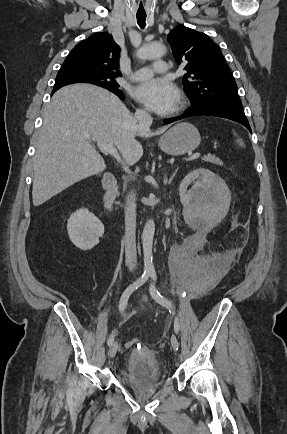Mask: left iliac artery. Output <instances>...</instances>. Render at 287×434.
Instances as JSON below:
<instances>
[{"label":"left iliac artery","instance_id":"obj_1","mask_svg":"<svg viewBox=\"0 0 287 434\" xmlns=\"http://www.w3.org/2000/svg\"><path fill=\"white\" fill-rule=\"evenodd\" d=\"M151 279H152V283L150 284V288H149V292L151 297L160 305H162L163 307H166L167 309H169V311L171 312V310L173 311V306L171 304V302L165 298L164 296H162L159 291L156 289L155 285H154V281L157 279V275L156 272L153 271L151 272ZM180 329V323L178 318H175L174 320V331L175 333H178Z\"/></svg>","mask_w":287,"mask_h":434}]
</instances>
